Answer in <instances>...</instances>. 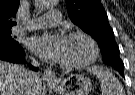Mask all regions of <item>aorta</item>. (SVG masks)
Masks as SVG:
<instances>
[{
    "mask_svg": "<svg viewBox=\"0 0 135 95\" xmlns=\"http://www.w3.org/2000/svg\"><path fill=\"white\" fill-rule=\"evenodd\" d=\"M55 0H37V7L40 9L49 8L54 5Z\"/></svg>",
    "mask_w": 135,
    "mask_h": 95,
    "instance_id": "obj_1",
    "label": "aorta"
}]
</instances>
